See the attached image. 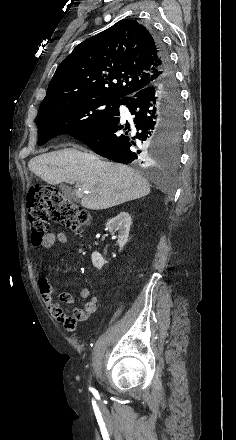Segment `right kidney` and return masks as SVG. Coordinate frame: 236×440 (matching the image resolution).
I'll list each match as a JSON object with an SVG mask.
<instances>
[{"instance_id":"ca27d5eb","label":"right kidney","mask_w":236,"mask_h":440,"mask_svg":"<svg viewBox=\"0 0 236 440\" xmlns=\"http://www.w3.org/2000/svg\"><path fill=\"white\" fill-rule=\"evenodd\" d=\"M132 225L131 216L127 212H121L116 217L110 219L106 224V229L111 233L118 231V240L120 251L123 249L124 245L128 241L130 227ZM92 263L97 269H101L107 261L102 257V255L95 251L92 253Z\"/></svg>"}]
</instances>
